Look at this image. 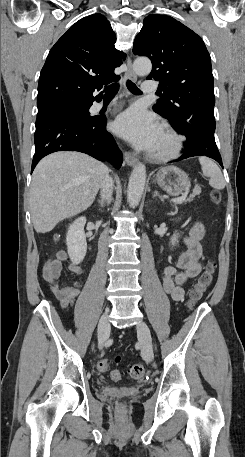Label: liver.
I'll return each mask as SVG.
<instances>
[{
	"label": "liver",
	"mask_w": 245,
	"mask_h": 457,
	"mask_svg": "<svg viewBox=\"0 0 245 457\" xmlns=\"http://www.w3.org/2000/svg\"><path fill=\"white\" fill-rule=\"evenodd\" d=\"M108 166L96 158L59 150L38 162L30 188V212L37 233H49L57 222L91 206L107 178Z\"/></svg>",
	"instance_id": "1"
}]
</instances>
